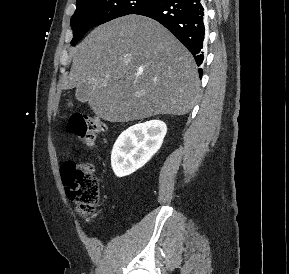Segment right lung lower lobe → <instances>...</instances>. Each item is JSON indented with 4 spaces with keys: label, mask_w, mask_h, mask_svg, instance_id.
I'll return each instance as SVG.
<instances>
[{
    "label": "right lung lower lobe",
    "mask_w": 289,
    "mask_h": 274,
    "mask_svg": "<svg viewBox=\"0 0 289 274\" xmlns=\"http://www.w3.org/2000/svg\"><path fill=\"white\" fill-rule=\"evenodd\" d=\"M134 14L160 22L192 53L197 65L202 64L205 38L203 0H157ZM199 74L202 75V69H199Z\"/></svg>",
    "instance_id": "obj_1"
}]
</instances>
